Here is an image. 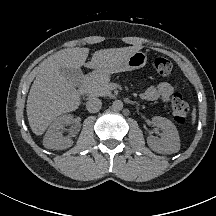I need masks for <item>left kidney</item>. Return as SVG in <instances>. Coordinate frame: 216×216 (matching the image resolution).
Listing matches in <instances>:
<instances>
[{
  "mask_svg": "<svg viewBox=\"0 0 216 216\" xmlns=\"http://www.w3.org/2000/svg\"><path fill=\"white\" fill-rule=\"evenodd\" d=\"M155 126L163 130V138L156 139L150 136L147 139L148 146L157 153L172 154L180 150V138L175 125L167 118L156 116L152 118Z\"/></svg>",
  "mask_w": 216,
  "mask_h": 216,
  "instance_id": "1",
  "label": "left kidney"
}]
</instances>
